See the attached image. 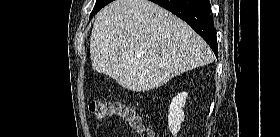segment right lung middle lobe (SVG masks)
<instances>
[{"label":"right lung middle lobe","mask_w":280,"mask_h":137,"mask_svg":"<svg viewBox=\"0 0 280 137\" xmlns=\"http://www.w3.org/2000/svg\"><path fill=\"white\" fill-rule=\"evenodd\" d=\"M113 0H96L95 6L91 12L90 18L93 17L101 8H103L108 3L112 2Z\"/></svg>","instance_id":"obj_1"}]
</instances>
